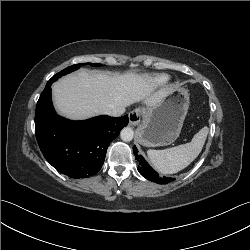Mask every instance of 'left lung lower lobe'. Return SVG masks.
Here are the masks:
<instances>
[{
  "instance_id": "1",
  "label": "left lung lower lobe",
  "mask_w": 250,
  "mask_h": 250,
  "mask_svg": "<svg viewBox=\"0 0 250 250\" xmlns=\"http://www.w3.org/2000/svg\"><path fill=\"white\" fill-rule=\"evenodd\" d=\"M133 152L137 155L136 156V159L138 161L137 169L139 173L147 180L156 182L158 184H167L174 180L173 178H168V177L160 178L158 176V173L154 171V169L145 161L143 156L137 154L138 151L135 146L133 147Z\"/></svg>"
}]
</instances>
